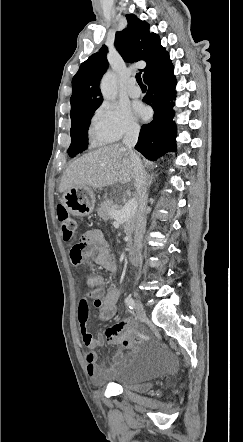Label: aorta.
Returning <instances> with one entry per match:
<instances>
[{"label": "aorta", "mask_w": 243, "mask_h": 442, "mask_svg": "<svg viewBox=\"0 0 243 442\" xmlns=\"http://www.w3.org/2000/svg\"><path fill=\"white\" fill-rule=\"evenodd\" d=\"M101 92L104 99L108 101H113L116 98L117 90L113 74L107 73L104 75L101 81Z\"/></svg>", "instance_id": "obj_1"}]
</instances>
